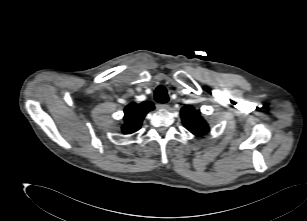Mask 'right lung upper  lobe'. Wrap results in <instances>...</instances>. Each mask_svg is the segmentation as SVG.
Here are the masks:
<instances>
[{
    "instance_id": "obj_1",
    "label": "right lung upper lobe",
    "mask_w": 307,
    "mask_h": 221,
    "mask_svg": "<svg viewBox=\"0 0 307 221\" xmlns=\"http://www.w3.org/2000/svg\"><path fill=\"white\" fill-rule=\"evenodd\" d=\"M154 109V105L151 102H142L136 104L130 103L124 110V125L122 126V132L124 134H131L137 131L142 124V120L145 115Z\"/></svg>"
}]
</instances>
